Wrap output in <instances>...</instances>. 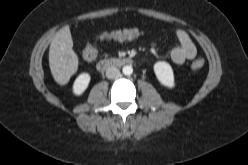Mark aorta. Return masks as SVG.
Here are the masks:
<instances>
[{"mask_svg": "<svg viewBox=\"0 0 248 165\" xmlns=\"http://www.w3.org/2000/svg\"><path fill=\"white\" fill-rule=\"evenodd\" d=\"M122 72L124 75H131L133 73V68L130 65H126L122 68Z\"/></svg>", "mask_w": 248, "mask_h": 165, "instance_id": "762f6f07", "label": "aorta"}]
</instances>
